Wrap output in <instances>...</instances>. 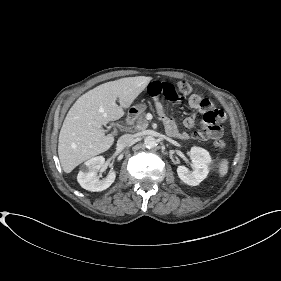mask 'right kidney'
I'll return each mask as SVG.
<instances>
[{
	"instance_id": "right-kidney-1",
	"label": "right kidney",
	"mask_w": 281,
	"mask_h": 281,
	"mask_svg": "<svg viewBox=\"0 0 281 281\" xmlns=\"http://www.w3.org/2000/svg\"><path fill=\"white\" fill-rule=\"evenodd\" d=\"M105 163V158L103 156H97L86 161L78 173L77 180L80 186L86 190L98 192L106 190L115 181L116 173L111 171L109 175L99 180L98 170H100Z\"/></svg>"
}]
</instances>
